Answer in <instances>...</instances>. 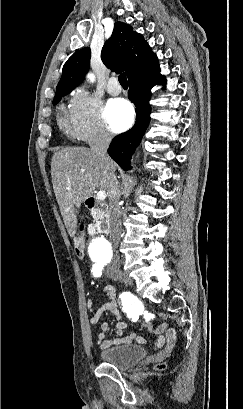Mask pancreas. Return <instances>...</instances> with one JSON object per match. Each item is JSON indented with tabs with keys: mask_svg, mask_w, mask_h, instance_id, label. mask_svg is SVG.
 <instances>
[{
	"mask_svg": "<svg viewBox=\"0 0 243 409\" xmlns=\"http://www.w3.org/2000/svg\"><path fill=\"white\" fill-rule=\"evenodd\" d=\"M104 211L97 209L92 213V216L95 220H99L101 216H103Z\"/></svg>",
	"mask_w": 243,
	"mask_h": 409,
	"instance_id": "pancreas-1",
	"label": "pancreas"
}]
</instances>
